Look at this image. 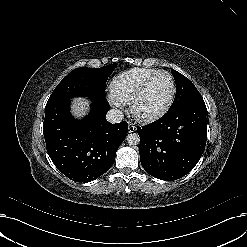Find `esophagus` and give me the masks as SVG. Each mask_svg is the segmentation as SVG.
Returning a JSON list of instances; mask_svg holds the SVG:
<instances>
[{"instance_id":"1","label":"esophagus","mask_w":247,"mask_h":247,"mask_svg":"<svg viewBox=\"0 0 247 247\" xmlns=\"http://www.w3.org/2000/svg\"><path fill=\"white\" fill-rule=\"evenodd\" d=\"M136 131V127L133 124L128 125V132L133 133Z\"/></svg>"}]
</instances>
